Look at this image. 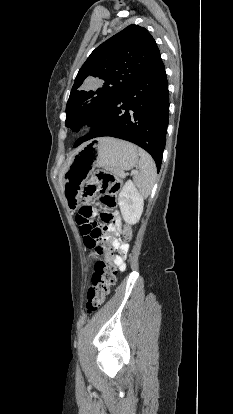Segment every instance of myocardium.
Instances as JSON below:
<instances>
[{"label": "myocardium", "instance_id": "f54148a6", "mask_svg": "<svg viewBox=\"0 0 233 414\" xmlns=\"http://www.w3.org/2000/svg\"><path fill=\"white\" fill-rule=\"evenodd\" d=\"M92 127H93V122L87 121V122L82 124L81 131H87V130L91 129Z\"/></svg>", "mask_w": 233, "mask_h": 414}]
</instances>
